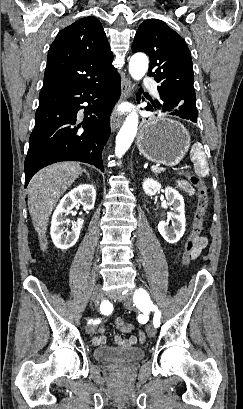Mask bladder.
Returning <instances> with one entry per match:
<instances>
[{
  "label": "bladder",
  "mask_w": 243,
  "mask_h": 409,
  "mask_svg": "<svg viewBox=\"0 0 243 409\" xmlns=\"http://www.w3.org/2000/svg\"><path fill=\"white\" fill-rule=\"evenodd\" d=\"M94 358L101 362L132 363L141 360L145 351L141 347L100 346L94 349Z\"/></svg>",
  "instance_id": "obj_1"
}]
</instances>
